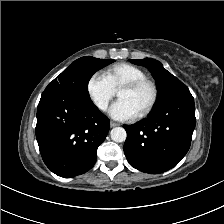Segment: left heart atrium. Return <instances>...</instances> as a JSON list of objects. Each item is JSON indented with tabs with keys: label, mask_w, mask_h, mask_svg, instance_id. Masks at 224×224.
Returning <instances> with one entry per match:
<instances>
[{
	"label": "left heart atrium",
	"mask_w": 224,
	"mask_h": 224,
	"mask_svg": "<svg viewBox=\"0 0 224 224\" xmlns=\"http://www.w3.org/2000/svg\"><path fill=\"white\" fill-rule=\"evenodd\" d=\"M109 114L113 119L124 121L135 119L138 113L135 109L124 100L116 101L109 110Z\"/></svg>",
	"instance_id": "1"
}]
</instances>
